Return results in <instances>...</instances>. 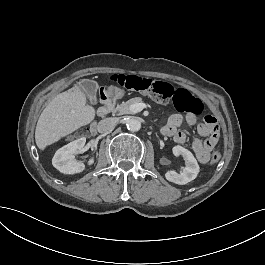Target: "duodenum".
Instances as JSON below:
<instances>
[{"instance_id":"duodenum-1","label":"duodenum","mask_w":265,"mask_h":265,"mask_svg":"<svg viewBox=\"0 0 265 265\" xmlns=\"http://www.w3.org/2000/svg\"><path fill=\"white\" fill-rule=\"evenodd\" d=\"M98 92L101 96V105L97 110V115L102 117L114 110V98L108 95L104 88H101ZM91 132L93 135L97 134V127L95 124L91 126Z\"/></svg>"}]
</instances>
